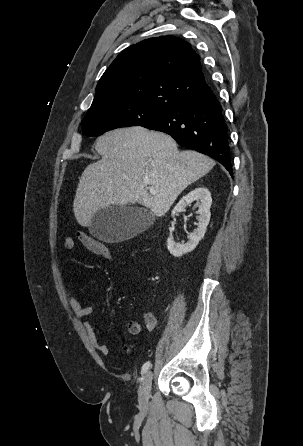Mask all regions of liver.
<instances>
[{"label":"liver","instance_id":"1","mask_svg":"<svg viewBox=\"0 0 303 446\" xmlns=\"http://www.w3.org/2000/svg\"><path fill=\"white\" fill-rule=\"evenodd\" d=\"M95 149L102 159L82 173L73 203L81 226H90L101 209L129 203L164 216L179 194L215 165L196 151H179L170 136L140 126L105 133ZM148 186L156 194L149 193Z\"/></svg>","mask_w":303,"mask_h":446}]
</instances>
